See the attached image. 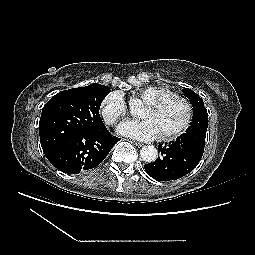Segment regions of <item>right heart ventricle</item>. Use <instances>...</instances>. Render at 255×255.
<instances>
[{
	"mask_svg": "<svg viewBox=\"0 0 255 255\" xmlns=\"http://www.w3.org/2000/svg\"><path fill=\"white\" fill-rule=\"evenodd\" d=\"M172 92L165 87L160 86H148L143 88L139 92V97L145 102L149 103L151 101L157 100L161 97L170 95Z\"/></svg>",
	"mask_w": 255,
	"mask_h": 255,
	"instance_id": "right-heart-ventricle-1",
	"label": "right heart ventricle"
}]
</instances>
